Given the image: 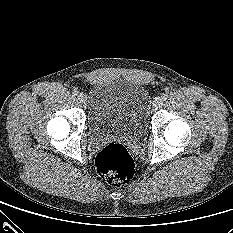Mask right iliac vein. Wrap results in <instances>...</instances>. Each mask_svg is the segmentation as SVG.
<instances>
[{"label": "right iliac vein", "instance_id": "1", "mask_svg": "<svg viewBox=\"0 0 233 233\" xmlns=\"http://www.w3.org/2000/svg\"><path fill=\"white\" fill-rule=\"evenodd\" d=\"M78 100H79L80 103H85L86 100H87V96L84 93H80L78 95Z\"/></svg>", "mask_w": 233, "mask_h": 233}]
</instances>
